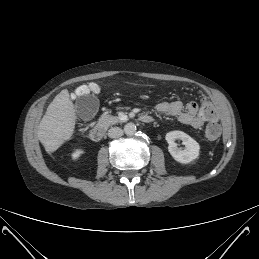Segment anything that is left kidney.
I'll return each instance as SVG.
<instances>
[{"label":"left kidney","mask_w":259,"mask_h":259,"mask_svg":"<svg viewBox=\"0 0 259 259\" xmlns=\"http://www.w3.org/2000/svg\"><path fill=\"white\" fill-rule=\"evenodd\" d=\"M165 139L168 146L170 155L179 163L187 164L195 160L199 156L200 146L191 138L188 134L183 131H170L166 134ZM176 139H180L185 149H180L175 143Z\"/></svg>","instance_id":"5707ae66"}]
</instances>
